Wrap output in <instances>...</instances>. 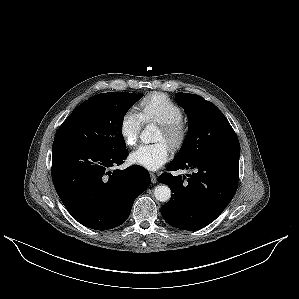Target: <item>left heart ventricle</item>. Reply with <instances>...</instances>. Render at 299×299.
I'll use <instances>...</instances> for the list:
<instances>
[{
  "label": "left heart ventricle",
  "mask_w": 299,
  "mask_h": 299,
  "mask_svg": "<svg viewBox=\"0 0 299 299\" xmlns=\"http://www.w3.org/2000/svg\"><path fill=\"white\" fill-rule=\"evenodd\" d=\"M157 140H165L166 141V135L164 133V131L160 128L158 135H157Z\"/></svg>",
  "instance_id": "left-heart-ventricle-1"
}]
</instances>
